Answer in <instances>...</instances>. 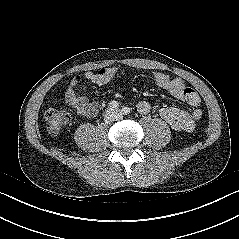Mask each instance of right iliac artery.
<instances>
[{
    "label": "right iliac artery",
    "mask_w": 239,
    "mask_h": 239,
    "mask_svg": "<svg viewBox=\"0 0 239 239\" xmlns=\"http://www.w3.org/2000/svg\"><path fill=\"white\" fill-rule=\"evenodd\" d=\"M108 107L110 109H117L119 107V103L117 101H112L109 103Z\"/></svg>",
    "instance_id": "82829eb1"
}]
</instances>
